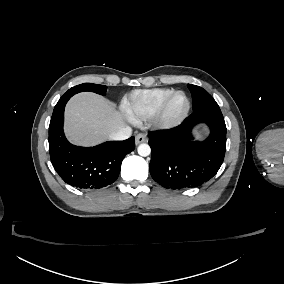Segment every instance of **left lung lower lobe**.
Here are the masks:
<instances>
[{"label": "left lung lower lobe", "instance_id": "1", "mask_svg": "<svg viewBox=\"0 0 284 284\" xmlns=\"http://www.w3.org/2000/svg\"><path fill=\"white\" fill-rule=\"evenodd\" d=\"M206 123L210 136L193 141L192 128ZM152 178L166 189H186L202 185L221 167L226 151V125L219 106L193 111L178 127L149 133Z\"/></svg>", "mask_w": 284, "mask_h": 284}]
</instances>
